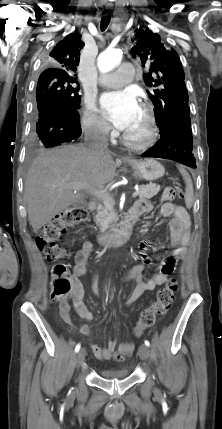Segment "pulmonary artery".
<instances>
[{"label":"pulmonary artery","mask_w":222,"mask_h":429,"mask_svg":"<svg viewBox=\"0 0 222 429\" xmlns=\"http://www.w3.org/2000/svg\"><path fill=\"white\" fill-rule=\"evenodd\" d=\"M134 75V65L130 62H124L120 65L117 71L111 72L100 77L99 82L104 86L117 88L130 82L133 79Z\"/></svg>","instance_id":"1"}]
</instances>
